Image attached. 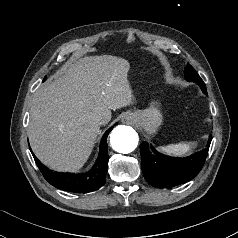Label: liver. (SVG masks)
<instances>
[{
	"instance_id": "1",
	"label": "liver",
	"mask_w": 238,
	"mask_h": 238,
	"mask_svg": "<svg viewBox=\"0 0 238 238\" xmlns=\"http://www.w3.org/2000/svg\"><path fill=\"white\" fill-rule=\"evenodd\" d=\"M130 64L111 55L68 63L55 80L41 86L30 106L28 137L36 157L49 168L77 172L88 160L111 110L130 106Z\"/></svg>"
}]
</instances>
